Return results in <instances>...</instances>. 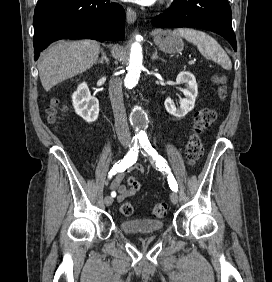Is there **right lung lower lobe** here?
<instances>
[{"label": "right lung lower lobe", "mask_w": 272, "mask_h": 282, "mask_svg": "<svg viewBox=\"0 0 272 282\" xmlns=\"http://www.w3.org/2000/svg\"><path fill=\"white\" fill-rule=\"evenodd\" d=\"M35 60L63 39L123 40L125 11L110 0H38L34 12Z\"/></svg>", "instance_id": "obj_1"}]
</instances>
